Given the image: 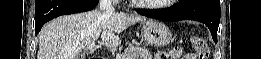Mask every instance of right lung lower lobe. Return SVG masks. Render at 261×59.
Here are the masks:
<instances>
[{
  "instance_id": "98d812e1",
  "label": "right lung lower lobe",
  "mask_w": 261,
  "mask_h": 59,
  "mask_svg": "<svg viewBox=\"0 0 261 59\" xmlns=\"http://www.w3.org/2000/svg\"><path fill=\"white\" fill-rule=\"evenodd\" d=\"M99 0H36L35 34L49 20L65 14L85 12L93 9Z\"/></svg>"
}]
</instances>
